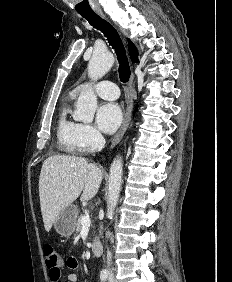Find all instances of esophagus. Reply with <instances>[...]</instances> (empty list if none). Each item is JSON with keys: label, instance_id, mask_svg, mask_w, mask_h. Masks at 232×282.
Listing matches in <instances>:
<instances>
[{"label": "esophagus", "instance_id": "esophagus-1", "mask_svg": "<svg viewBox=\"0 0 232 282\" xmlns=\"http://www.w3.org/2000/svg\"><path fill=\"white\" fill-rule=\"evenodd\" d=\"M97 13L102 18L107 19L105 14L101 10H98ZM133 93H134V74L132 72L130 80H129V84H128V105H127L126 111L124 113V119H123V122H122L120 129L118 130V132L116 133V135L114 136V138L112 140L110 148H113L121 140L125 131L128 128V125H129V122H130V119H131V112H132V96H133Z\"/></svg>", "mask_w": 232, "mask_h": 282}]
</instances>
